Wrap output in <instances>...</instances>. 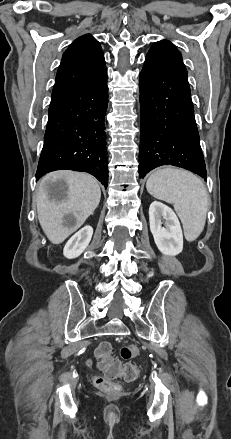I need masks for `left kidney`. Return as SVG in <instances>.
I'll return each mask as SVG.
<instances>
[{
  "mask_svg": "<svg viewBox=\"0 0 231 439\" xmlns=\"http://www.w3.org/2000/svg\"><path fill=\"white\" fill-rule=\"evenodd\" d=\"M164 219V227L162 226ZM150 230L160 252L176 256L183 249V233L174 211L165 204L154 201L149 207Z\"/></svg>",
  "mask_w": 231,
  "mask_h": 439,
  "instance_id": "left-kidney-1",
  "label": "left kidney"
}]
</instances>
